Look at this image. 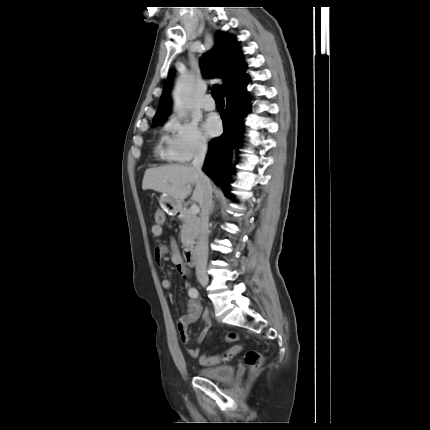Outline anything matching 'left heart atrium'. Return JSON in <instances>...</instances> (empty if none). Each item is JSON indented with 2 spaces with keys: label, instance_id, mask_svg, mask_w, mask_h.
Instances as JSON below:
<instances>
[{
  "label": "left heart atrium",
  "instance_id": "39dd6f15",
  "mask_svg": "<svg viewBox=\"0 0 430 430\" xmlns=\"http://www.w3.org/2000/svg\"><path fill=\"white\" fill-rule=\"evenodd\" d=\"M204 130L205 132L212 136L215 135L219 130V122L217 118L210 117L205 123H204Z\"/></svg>",
  "mask_w": 430,
  "mask_h": 430
}]
</instances>
